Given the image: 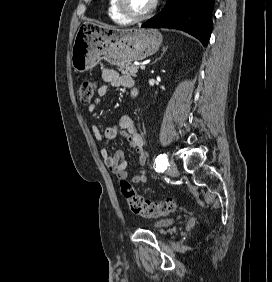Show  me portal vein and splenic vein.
Listing matches in <instances>:
<instances>
[{"instance_id": "portal-vein-and-splenic-vein-1", "label": "portal vein and splenic vein", "mask_w": 272, "mask_h": 282, "mask_svg": "<svg viewBox=\"0 0 272 282\" xmlns=\"http://www.w3.org/2000/svg\"><path fill=\"white\" fill-rule=\"evenodd\" d=\"M140 69H141V70H145V66H144V65H141V66H140Z\"/></svg>"}]
</instances>
